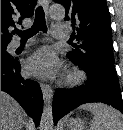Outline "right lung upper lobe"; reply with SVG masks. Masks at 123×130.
<instances>
[{
    "label": "right lung upper lobe",
    "mask_w": 123,
    "mask_h": 130,
    "mask_svg": "<svg viewBox=\"0 0 123 130\" xmlns=\"http://www.w3.org/2000/svg\"><path fill=\"white\" fill-rule=\"evenodd\" d=\"M37 0H1V44H9L12 27L32 15Z\"/></svg>",
    "instance_id": "1"
}]
</instances>
